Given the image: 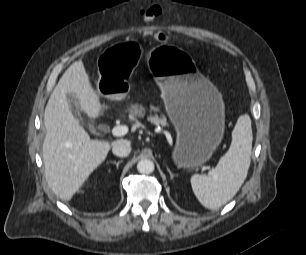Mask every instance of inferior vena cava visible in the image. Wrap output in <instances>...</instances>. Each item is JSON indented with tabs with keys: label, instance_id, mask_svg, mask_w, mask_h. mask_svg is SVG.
I'll use <instances>...</instances> for the list:
<instances>
[{
	"label": "inferior vena cava",
	"instance_id": "602c4592",
	"mask_svg": "<svg viewBox=\"0 0 306 255\" xmlns=\"http://www.w3.org/2000/svg\"><path fill=\"white\" fill-rule=\"evenodd\" d=\"M112 152L118 157H127L131 152V144L128 140H117L113 143Z\"/></svg>",
	"mask_w": 306,
	"mask_h": 255
}]
</instances>
